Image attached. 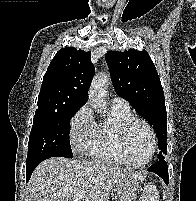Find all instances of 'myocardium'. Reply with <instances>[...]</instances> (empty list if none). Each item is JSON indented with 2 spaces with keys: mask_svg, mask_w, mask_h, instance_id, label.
Instances as JSON below:
<instances>
[{
  "mask_svg": "<svg viewBox=\"0 0 196 201\" xmlns=\"http://www.w3.org/2000/svg\"><path fill=\"white\" fill-rule=\"evenodd\" d=\"M136 124H141L147 128V130L150 133L151 142H152V147H151L149 156L147 157L146 160L139 162V163L132 161V159L130 157V153H129V148H128V135H129V132L132 129V127ZM119 143H120L121 150H122L125 158L127 159L128 163L135 167H143V166H146L147 164H149L151 162V160L154 158V156L157 152V148H158L157 135H156V132H155L154 128L152 127V125L149 122H147L146 120H144L142 118H137V117H134V118L128 120L121 126L120 132H119Z\"/></svg>",
  "mask_w": 196,
  "mask_h": 201,
  "instance_id": "f54148a6",
  "label": "myocardium"
}]
</instances>
